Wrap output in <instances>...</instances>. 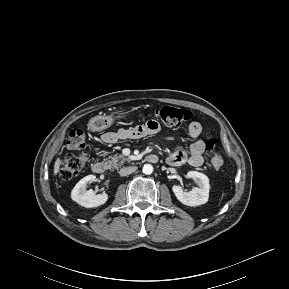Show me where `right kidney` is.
Masks as SVG:
<instances>
[{
    "label": "right kidney",
    "instance_id": "obj_1",
    "mask_svg": "<svg viewBox=\"0 0 289 289\" xmlns=\"http://www.w3.org/2000/svg\"><path fill=\"white\" fill-rule=\"evenodd\" d=\"M95 175H88L82 178L73 188L71 198L85 208L98 207L106 203L108 195L106 193L96 195L92 189L86 190L89 182L95 181Z\"/></svg>",
    "mask_w": 289,
    "mask_h": 289
}]
</instances>
